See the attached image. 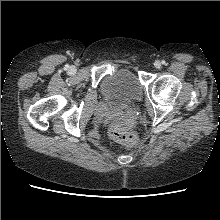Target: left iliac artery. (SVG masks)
Here are the masks:
<instances>
[{
	"instance_id": "left-iliac-artery-1",
	"label": "left iliac artery",
	"mask_w": 220,
	"mask_h": 220,
	"mask_svg": "<svg viewBox=\"0 0 220 220\" xmlns=\"http://www.w3.org/2000/svg\"><path fill=\"white\" fill-rule=\"evenodd\" d=\"M162 64H165V62H164V61H162Z\"/></svg>"
}]
</instances>
